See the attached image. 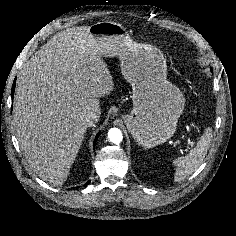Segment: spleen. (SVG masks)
Listing matches in <instances>:
<instances>
[{"label": "spleen", "instance_id": "1", "mask_svg": "<svg viewBox=\"0 0 236 236\" xmlns=\"http://www.w3.org/2000/svg\"><path fill=\"white\" fill-rule=\"evenodd\" d=\"M211 140L212 129L207 128L198 141L196 147L192 149L189 154L183 157H178L174 160V164L176 166L174 180L176 182L183 181L198 169L210 147Z\"/></svg>", "mask_w": 236, "mask_h": 236}]
</instances>
